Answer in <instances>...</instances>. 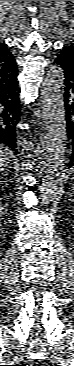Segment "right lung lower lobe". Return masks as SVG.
Listing matches in <instances>:
<instances>
[{
	"label": "right lung lower lobe",
	"instance_id": "1",
	"mask_svg": "<svg viewBox=\"0 0 74 366\" xmlns=\"http://www.w3.org/2000/svg\"><path fill=\"white\" fill-rule=\"evenodd\" d=\"M19 92L17 79L0 86V144L7 145L15 154L18 152L16 125L21 115Z\"/></svg>",
	"mask_w": 74,
	"mask_h": 366
}]
</instances>
